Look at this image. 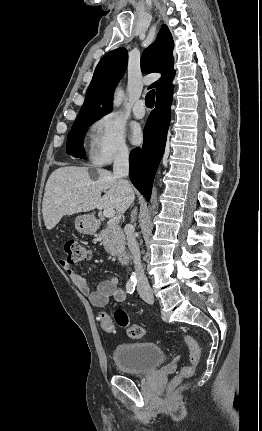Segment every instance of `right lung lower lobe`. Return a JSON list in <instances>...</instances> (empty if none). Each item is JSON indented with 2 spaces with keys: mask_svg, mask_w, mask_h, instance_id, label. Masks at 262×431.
Listing matches in <instances>:
<instances>
[{
  "mask_svg": "<svg viewBox=\"0 0 262 431\" xmlns=\"http://www.w3.org/2000/svg\"><path fill=\"white\" fill-rule=\"evenodd\" d=\"M172 91L167 90L157 97L155 109L144 128L143 146L135 148L130 154V179L147 200L150 199L153 179L166 144Z\"/></svg>",
  "mask_w": 262,
  "mask_h": 431,
  "instance_id": "right-lung-lower-lobe-1",
  "label": "right lung lower lobe"
}]
</instances>
